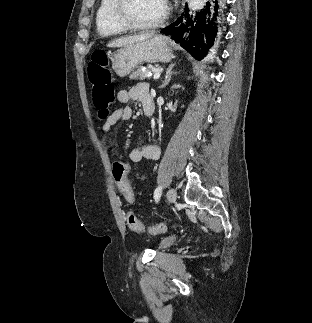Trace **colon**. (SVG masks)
Returning <instances> with one entry per match:
<instances>
[{
  "label": "colon",
  "mask_w": 312,
  "mask_h": 323,
  "mask_svg": "<svg viewBox=\"0 0 312 323\" xmlns=\"http://www.w3.org/2000/svg\"><path fill=\"white\" fill-rule=\"evenodd\" d=\"M109 59L104 50H98L94 53L92 61L88 65V77L92 84L93 92V106L102 111L104 114L109 113V106L114 101V84L111 73L108 69ZM101 114L99 119L104 121L106 116ZM130 161L115 160L113 162L112 175L115 177L118 187L127 202H130L132 197V190L129 188L128 180H125L127 171H129ZM135 207V204H132ZM125 216L127 218L128 228L133 233L150 232L153 234H160L167 230V222H162L156 225H146L137 220L134 216L133 210H126Z\"/></svg>",
  "instance_id": "colon-1"
}]
</instances>
